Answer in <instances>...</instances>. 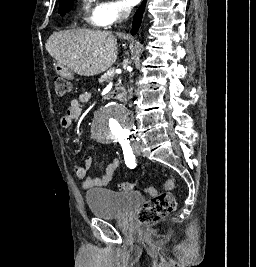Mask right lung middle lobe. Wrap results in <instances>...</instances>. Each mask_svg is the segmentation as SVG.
Listing matches in <instances>:
<instances>
[{
  "label": "right lung middle lobe",
  "mask_w": 256,
  "mask_h": 267,
  "mask_svg": "<svg viewBox=\"0 0 256 267\" xmlns=\"http://www.w3.org/2000/svg\"><path fill=\"white\" fill-rule=\"evenodd\" d=\"M73 5V0H63L60 1V7H59V14L64 15L66 12H68Z\"/></svg>",
  "instance_id": "dd1d6c3e"
}]
</instances>
